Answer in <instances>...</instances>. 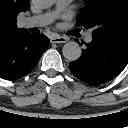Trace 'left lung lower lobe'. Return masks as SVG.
I'll return each instance as SVG.
<instances>
[{"label":"left lung lower lobe","instance_id":"1","mask_svg":"<svg viewBox=\"0 0 128 128\" xmlns=\"http://www.w3.org/2000/svg\"><path fill=\"white\" fill-rule=\"evenodd\" d=\"M86 46L81 57L69 67L77 78L89 85L97 86L112 80L128 64V39L93 37Z\"/></svg>","mask_w":128,"mask_h":128}]
</instances>
